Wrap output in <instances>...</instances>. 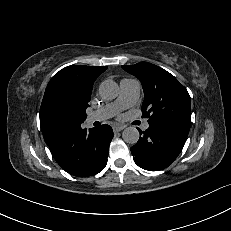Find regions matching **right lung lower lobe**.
Wrapping results in <instances>:
<instances>
[{"label":"right lung lower lobe","mask_w":231,"mask_h":231,"mask_svg":"<svg viewBox=\"0 0 231 231\" xmlns=\"http://www.w3.org/2000/svg\"><path fill=\"white\" fill-rule=\"evenodd\" d=\"M112 138V128L106 124L87 131L80 123L69 128L63 139L49 147L65 171L77 177H87L106 166Z\"/></svg>","instance_id":"98d812e1"}]
</instances>
